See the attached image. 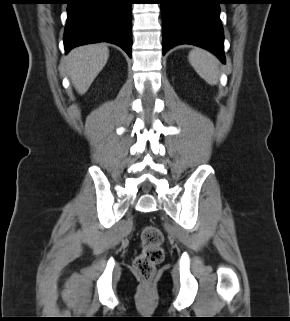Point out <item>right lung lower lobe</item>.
Listing matches in <instances>:
<instances>
[{
    "instance_id": "98d812e1",
    "label": "right lung lower lobe",
    "mask_w": 290,
    "mask_h": 321,
    "mask_svg": "<svg viewBox=\"0 0 290 321\" xmlns=\"http://www.w3.org/2000/svg\"><path fill=\"white\" fill-rule=\"evenodd\" d=\"M64 48L97 42L120 46L132 56L130 0H68Z\"/></svg>"
}]
</instances>
